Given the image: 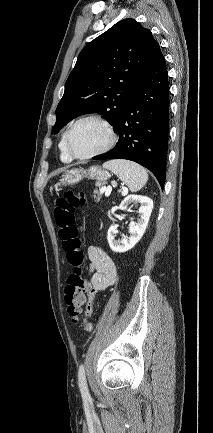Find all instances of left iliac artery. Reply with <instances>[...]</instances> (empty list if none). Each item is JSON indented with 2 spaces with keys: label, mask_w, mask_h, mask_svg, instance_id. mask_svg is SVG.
Segmentation results:
<instances>
[{
  "label": "left iliac artery",
  "mask_w": 213,
  "mask_h": 433,
  "mask_svg": "<svg viewBox=\"0 0 213 433\" xmlns=\"http://www.w3.org/2000/svg\"><path fill=\"white\" fill-rule=\"evenodd\" d=\"M78 385H79L83 399H86V400L89 399L90 395H89V391H88V387H87V383H86L85 368H84L83 364H81L79 366V370H78Z\"/></svg>",
  "instance_id": "44dca946"
}]
</instances>
